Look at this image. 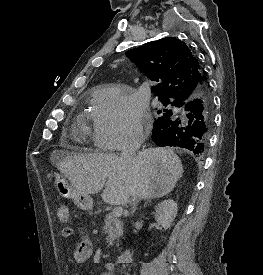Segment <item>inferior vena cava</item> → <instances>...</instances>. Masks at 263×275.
Instances as JSON below:
<instances>
[{
	"label": "inferior vena cava",
	"instance_id": "602c4592",
	"mask_svg": "<svg viewBox=\"0 0 263 275\" xmlns=\"http://www.w3.org/2000/svg\"><path fill=\"white\" fill-rule=\"evenodd\" d=\"M138 149L137 145H129L123 148L121 158L127 166H133L135 164V152ZM132 205L133 212L135 211L136 204L138 202V192L136 190L132 193Z\"/></svg>",
	"mask_w": 263,
	"mask_h": 275
}]
</instances>
